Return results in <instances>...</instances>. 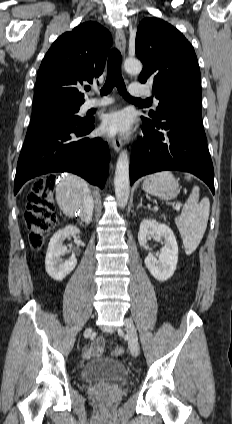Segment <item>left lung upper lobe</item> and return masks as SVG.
<instances>
[{"label":"left lung upper lobe","instance_id":"1","mask_svg":"<svg viewBox=\"0 0 232 424\" xmlns=\"http://www.w3.org/2000/svg\"><path fill=\"white\" fill-rule=\"evenodd\" d=\"M136 55L143 63L141 83L153 79L160 103L149 116L157 119L171 105L201 106V78L192 45L175 27L159 18H145L138 26Z\"/></svg>","mask_w":232,"mask_h":424}]
</instances>
